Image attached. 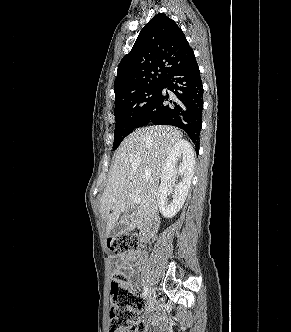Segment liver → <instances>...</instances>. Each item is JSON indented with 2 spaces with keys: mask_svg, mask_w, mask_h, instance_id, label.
Listing matches in <instances>:
<instances>
[{
  "mask_svg": "<svg viewBox=\"0 0 291 332\" xmlns=\"http://www.w3.org/2000/svg\"><path fill=\"white\" fill-rule=\"evenodd\" d=\"M182 140V133L170 126H149L127 136L115 153L102 194L100 212L107 220L109 235L122 212L132 208L129 194L139 195L138 213L151 217L157 212V188L166 156Z\"/></svg>",
  "mask_w": 291,
  "mask_h": 332,
  "instance_id": "liver-1",
  "label": "liver"
}]
</instances>
